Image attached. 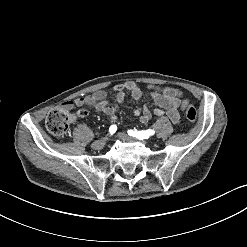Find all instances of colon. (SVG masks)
<instances>
[{
    "label": "colon",
    "mask_w": 247,
    "mask_h": 247,
    "mask_svg": "<svg viewBox=\"0 0 247 247\" xmlns=\"http://www.w3.org/2000/svg\"><path fill=\"white\" fill-rule=\"evenodd\" d=\"M185 110L187 119L192 122L196 121L198 116L196 108L191 104H187ZM72 123L69 111L59 109L52 110L45 118V127L48 132L59 138L68 137L69 127Z\"/></svg>",
    "instance_id": "colon-1"
}]
</instances>
